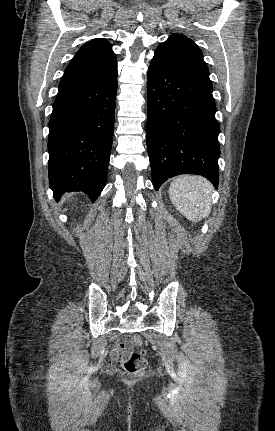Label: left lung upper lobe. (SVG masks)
Listing matches in <instances>:
<instances>
[{"instance_id":"1","label":"left lung upper lobe","mask_w":275,"mask_h":431,"mask_svg":"<svg viewBox=\"0 0 275 431\" xmlns=\"http://www.w3.org/2000/svg\"><path fill=\"white\" fill-rule=\"evenodd\" d=\"M159 46L173 50L204 78L209 88L213 89L207 65L203 60V54L194 41L181 34H172L168 40Z\"/></svg>"}]
</instances>
